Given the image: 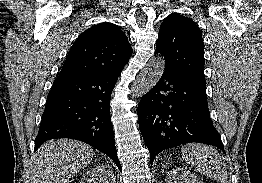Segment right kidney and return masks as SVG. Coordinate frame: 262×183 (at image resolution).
I'll use <instances>...</instances> for the list:
<instances>
[{"label": "right kidney", "instance_id": "obj_1", "mask_svg": "<svg viewBox=\"0 0 262 183\" xmlns=\"http://www.w3.org/2000/svg\"><path fill=\"white\" fill-rule=\"evenodd\" d=\"M115 183L114 174L108 164H102L96 168L88 170L79 183Z\"/></svg>", "mask_w": 262, "mask_h": 183}]
</instances>
